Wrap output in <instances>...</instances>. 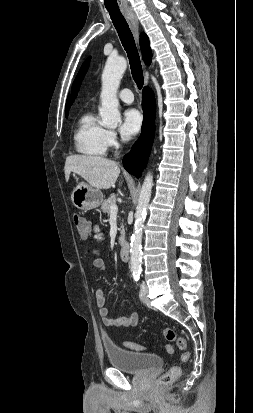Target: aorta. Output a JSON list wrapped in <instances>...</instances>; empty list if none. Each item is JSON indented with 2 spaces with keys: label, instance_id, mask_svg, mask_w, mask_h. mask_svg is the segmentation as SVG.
Wrapping results in <instances>:
<instances>
[{
  "label": "aorta",
  "instance_id": "762f6f07",
  "mask_svg": "<svg viewBox=\"0 0 253 413\" xmlns=\"http://www.w3.org/2000/svg\"><path fill=\"white\" fill-rule=\"evenodd\" d=\"M126 68L127 61L124 57H109L106 61L102 73L101 107L99 109L101 124L105 127L115 128L121 121L117 90ZM152 186L153 176L148 173L140 190L135 213L134 231L130 243V265L133 273L141 271L143 226L147 215V206L151 198Z\"/></svg>",
  "mask_w": 253,
  "mask_h": 413
}]
</instances>
